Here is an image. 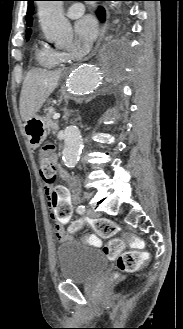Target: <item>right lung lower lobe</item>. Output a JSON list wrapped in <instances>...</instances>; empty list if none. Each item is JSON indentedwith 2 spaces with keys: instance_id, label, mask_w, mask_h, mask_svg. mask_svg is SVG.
<instances>
[{
  "instance_id": "right-lung-lower-lobe-1",
  "label": "right lung lower lobe",
  "mask_w": 183,
  "mask_h": 329,
  "mask_svg": "<svg viewBox=\"0 0 183 329\" xmlns=\"http://www.w3.org/2000/svg\"><path fill=\"white\" fill-rule=\"evenodd\" d=\"M97 15L100 18V20L103 21L105 19V10L102 7H100L97 10Z\"/></svg>"
}]
</instances>
